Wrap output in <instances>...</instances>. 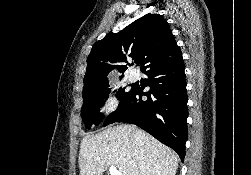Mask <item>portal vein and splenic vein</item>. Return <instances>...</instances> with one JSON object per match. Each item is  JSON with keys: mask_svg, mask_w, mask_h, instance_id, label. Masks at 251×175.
I'll use <instances>...</instances> for the list:
<instances>
[{"mask_svg": "<svg viewBox=\"0 0 251 175\" xmlns=\"http://www.w3.org/2000/svg\"><path fill=\"white\" fill-rule=\"evenodd\" d=\"M109 171L111 175H122L121 171H118L117 167H114V165H110Z\"/></svg>", "mask_w": 251, "mask_h": 175, "instance_id": "obj_1", "label": "portal vein and splenic vein"}]
</instances>
